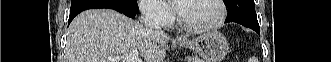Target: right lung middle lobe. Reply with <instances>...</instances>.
Returning <instances> with one entry per match:
<instances>
[{
    "label": "right lung middle lobe",
    "mask_w": 331,
    "mask_h": 62,
    "mask_svg": "<svg viewBox=\"0 0 331 62\" xmlns=\"http://www.w3.org/2000/svg\"><path fill=\"white\" fill-rule=\"evenodd\" d=\"M85 4H109L133 13H138L139 11L136 0H71V9Z\"/></svg>",
    "instance_id": "1"
}]
</instances>
